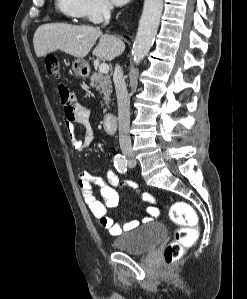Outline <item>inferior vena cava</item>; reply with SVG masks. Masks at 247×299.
I'll list each match as a JSON object with an SVG mask.
<instances>
[{
    "label": "inferior vena cava",
    "instance_id": "1",
    "mask_svg": "<svg viewBox=\"0 0 247 299\" xmlns=\"http://www.w3.org/2000/svg\"><path fill=\"white\" fill-rule=\"evenodd\" d=\"M111 7L109 4H103L101 11L105 19V25L109 23L111 17ZM114 85L118 102V125H119V144L122 153L130 154L132 152L131 138L129 135L130 126V99L127 92L122 68L115 66L113 74Z\"/></svg>",
    "mask_w": 247,
    "mask_h": 299
}]
</instances>
